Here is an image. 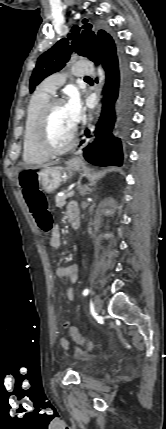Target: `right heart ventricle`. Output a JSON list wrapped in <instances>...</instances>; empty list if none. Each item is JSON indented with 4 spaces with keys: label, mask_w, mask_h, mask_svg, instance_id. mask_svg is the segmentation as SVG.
I'll use <instances>...</instances> for the list:
<instances>
[{
    "label": "right heart ventricle",
    "mask_w": 166,
    "mask_h": 429,
    "mask_svg": "<svg viewBox=\"0 0 166 429\" xmlns=\"http://www.w3.org/2000/svg\"><path fill=\"white\" fill-rule=\"evenodd\" d=\"M51 95L41 88L36 91L29 102L23 133V159L27 163H44L49 159V155L43 153L36 145L35 130L39 114Z\"/></svg>",
    "instance_id": "obj_1"
}]
</instances>
